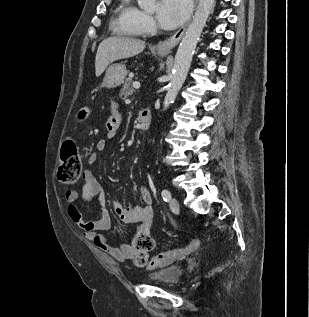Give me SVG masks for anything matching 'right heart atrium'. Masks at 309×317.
I'll list each match as a JSON object with an SVG mask.
<instances>
[{
	"instance_id": "1",
	"label": "right heart atrium",
	"mask_w": 309,
	"mask_h": 317,
	"mask_svg": "<svg viewBox=\"0 0 309 317\" xmlns=\"http://www.w3.org/2000/svg\"><path fill=\"white\" fill-rule=\"evenodd\" d=\"M137 23L139 28L143 30H151L155 27V21L153 17L142 11H140V14L137 18Z\"/></svg>"
}]
</instances>
